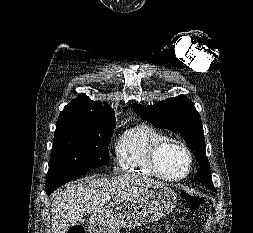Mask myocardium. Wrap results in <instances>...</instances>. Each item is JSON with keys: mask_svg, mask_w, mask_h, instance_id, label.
Instances as JSON below:
<instances>
[{"mask_svg": "<svg viewBox=\"0 0 253 233\" xmlns=\"http://www.w3.org/2000/svg\"><path fill=\"white\" fill-rule=\"evenodd\" d=\"M171 149L182 150L187 156L188 166H187L186 171L181 175L170 176L164 173V170L162 167V157L167 151ZM149 163L152 169L158 175V177L167 181H179L186 178L192 171L194 158H193L192 151L186 144L177 140L168 139L154 146V148L152 149L150 153Z\"/></svg>", "mask_w": 253, "mask_h": 233, "instance_id": "myocardium-1", "label": "myocardium"}]
</instances>
